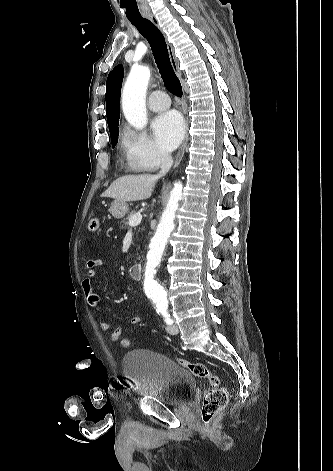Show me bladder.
I'll list each match as a JSON object with an SVG mask.
<instances>
[{
    "instance_id": "obj_1",
    "label": "bladder",
    "mask_w": 333,
    "mask_h": 471,
    "mask_svg": "<svg viewBox=\"0 0 333 471\" xmlns=\"http://www.w3.org/2000/svg\"><path fill=\"white\" fill-rule=\"evenodd\" d=\"M123 375L133 383V391L166 405L185 403L196 389L192 373L168 356L146 349L127 353Z\"/></svg>"
}]
</instances>
